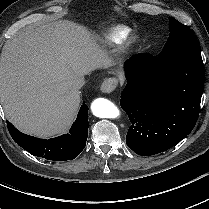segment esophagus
Segmentation results:
<instances>
[{
    "label": "esophagus",
    "instance_id": "obj_1",
    "mask_svg": "<svg viewBox=\"0 0 209 209\" xmlns=\"http://www.w3.org/2000/svg\"><path fill=\"white\" fill-rule=\"evenodd\" d=\"M117 85L118 80L115 77H109L102 82L100 90L103 93H111L116 89Z\"/></svg>",
    "mask_w": 209,
    "mask_h": 209
}]
</instances>
